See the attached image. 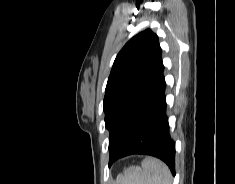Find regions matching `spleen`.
<instances>
[{"label":"spleen","instance_id":"spleen-1","mask_svg":"<svg viewBox=\"0 0 235 184\" xmlns=\"http://www.w3.org/2000/svg\"><path fill=\"white\" fill-rule=\"evenodd\" d=\"M116 184H172V176L164 162L147 158L142 168H128L124 176H117Z\"/></svg>","mask_w":235,"mask_h":184}]
</instances>
